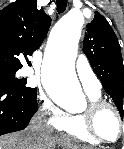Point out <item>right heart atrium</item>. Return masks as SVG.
<instances>
[{"mask_svg": "<svg viewBox=\"0 0 124 149\" xmlns=\"http://www.w3.org/2000/svg\"><path fill=\"white\" fill-rule=\"evenodd\" d=\"M39 113L48 116L47 124L60 129L67 119L68 114L57 106L52 100L43 97L40 102Z\"/></svg>", "mask_w": 124, "mask_h": 149, "instance_id": "d8ad5b80", "label": "right heart atrium"}]
</instances>
